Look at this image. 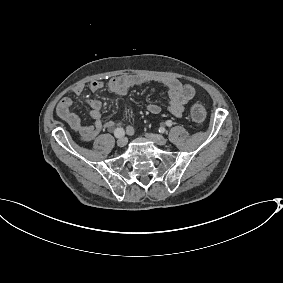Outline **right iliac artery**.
Wrapping results in <instances>:
<instances>
[{
  "label": "right iliac artery",
  "instance_id": "1",
  "mask_svg": "<svg viewBox=\"0 0 283 283\" xmlns=\"http://www.w3.org/2000/svg\"><path fill=\"white\" fill-rule=\"evenodd\" d=\"M114 135H115L116 138H121L125 135V132L122 128H117L114 131Z\"/></svg>",
  "mask_w": 283,
  "mask_h": 283
}]
</instances>
